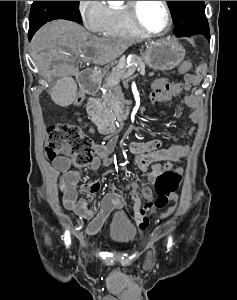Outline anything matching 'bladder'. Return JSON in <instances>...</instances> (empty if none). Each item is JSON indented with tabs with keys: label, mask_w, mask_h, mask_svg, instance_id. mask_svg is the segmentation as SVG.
I'll list each match as a JSON object with an SVG mask.
<instances>
[{
	"label": "bladder",
	"mask_w": 237,
	"mask_h": 300,
	"mask_svg": "<svg viewBox=\"0 0 237 300\" xmlns=\"http://www.w3.org/2000/svg\"><path fill=\"white\" fill-rule=\"evenodd\" d=\"M137 229L124 215L117 216L109 229V238L117 244H129L136 238Z\"/></svg>",
	"instance_id": "obj_1"
}]
</instances>
